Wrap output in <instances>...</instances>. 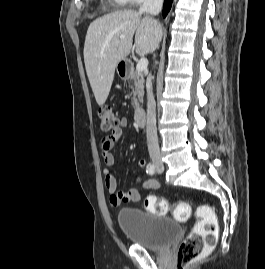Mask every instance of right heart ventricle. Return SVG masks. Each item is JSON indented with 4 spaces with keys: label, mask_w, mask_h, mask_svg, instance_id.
<instances>
[{
    "label": "right heart ventricle",
    "mask_w": 265,
    "mask_h": 269,
    "mask_svg": "<svg viewBox=\"0 0 265 269\" xmlns=\"http://www.w3.org/2000/svg\"><path fill=\"white\" fill-rule=\"evenodd\" d=\"M117 6H124L126 5L125 0H112Z\"/></svg>",
    "instance_id": "right-heart-ventricle-1"
}]
</instances>
